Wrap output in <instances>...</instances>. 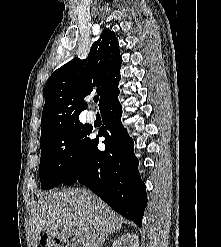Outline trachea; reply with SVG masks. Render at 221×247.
<instances>
[{
    "label": "trachea",
    "instance_id": "3493384b",
    "mask_svg": "<svg viewBox=\"0 0 221 247\" xmlns=\"http://www.w3.org/2000/svg\"><path fill=\"white\" fill-rule=\"evenodd\" d=\"M93 100H94L95 103H97L98 100H99V97L96 96V97L93 98Z\"/></svg>",
    "mask_w": 221,
    "mask_h": 247
}]
</instances>
